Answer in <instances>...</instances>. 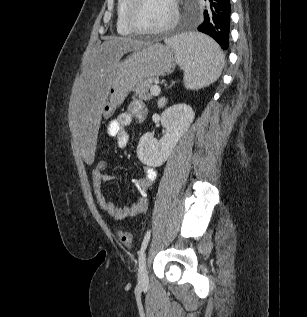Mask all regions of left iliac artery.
<instances>
[{
	"label": "left iliac artery",
	"mask_w": 307,
	"mask_h": 317,
	"mask_svg": "<svg viewBox=\"0 0 307 317\" xmlns=\"http://www.w3.org/2000/svg\"><path fill=\"white\" fill-rule=\"evenodd\" d=\"M150 240V230L147 231V233L145 234V237L143 239V242H142V246H141V250H140V254L142 255L143 252L145 251L147 245H148V242Z\"/></svg>",
	"instance_id": "44dca946"
}]
</instances>
